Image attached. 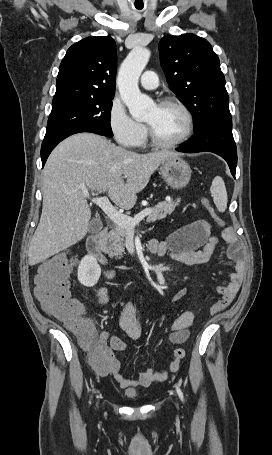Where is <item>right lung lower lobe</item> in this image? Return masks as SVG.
<instances>
[{"label":"right lung lower lobe","mask_w":272,"mask_h":455,"mask_svg":"<svg viewBox=\"0 0 272 455\" xmlns=\"http://www.w3.org/2000/svg\"><path fill=\"white\" fill-rule=\"evenodd\" d=\"M80 132H91L99 135L105 136L102 132L95 128L91 127H70L63 128L52 132H46L44 137L42 147H41V160L42 167L44 166L49 154L56 147V145L61 142L63 139L67 138L70 135L80 133Z\"/></svg>","instance_id":"98d812e1"}]
</instances>
